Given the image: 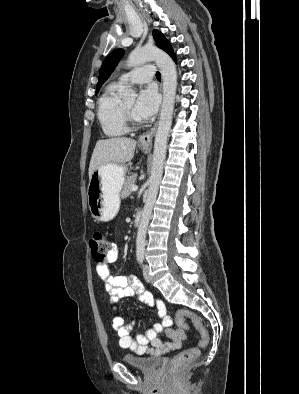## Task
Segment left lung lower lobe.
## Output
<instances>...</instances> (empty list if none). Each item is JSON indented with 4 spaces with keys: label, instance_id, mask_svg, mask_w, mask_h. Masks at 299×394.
I'll return each instance as SVG.
<instances>
[{
    "label": "left lung lower lobe",
    "instance_id": "0a47b994",
    "mask_svg": "<svg viewBox=\"0 0 299 394\" xmlns=\"http://www.w3.org/2000/svg\"><path fill=\"white\" fill-rule=\"evenodd\" d=\"M174 60H176L175 58V54L174 53H172L171 55H170Z\"/></svg>",
    "mask_w": 299,
    "mask_h": 394
}]
</instances>
